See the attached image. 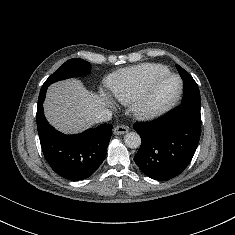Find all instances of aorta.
Here are the masks:
<instances>
[{"instance_id":"aorta-1","label":"aorta","mask_w":235,"mask_h":235,"mask_svg":"<svg viewBox=\"0 0 235 235\" xmlns=\"http://www.w3.org/2000/svg\"><path fill=\"white\" fill-rule=\"evenodd\" d=\"M125 144L129 148H138L141 145L140 135L136 132H129L124 137Z\"/></svg>"}]
</instances>
